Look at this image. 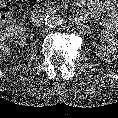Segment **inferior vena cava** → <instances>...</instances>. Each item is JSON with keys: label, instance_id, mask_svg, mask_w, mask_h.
I'll return each instance as SVG.
<instances>
[{"label": "inferior vena cava", "instance_id": "obj_1", "mask_svg": "<svg viewBox=\"0 0 118 118\" xmlns=\"http://www.w3.org/2000/svg\"><path fill=\"white\" fill-rule=\"evenodd\" d=\"M44 22V17L38 18L34 20L36 26H40Z\"/></svg>", "mask_w": 118, "mask_h": 118}]
</instances>
